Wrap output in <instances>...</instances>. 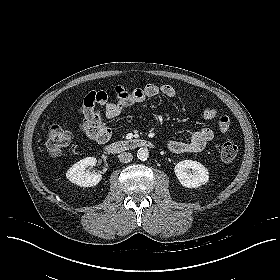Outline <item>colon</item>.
<instances>
[{"instance_id": "colon-1", "label": "colon", "mask_w": 280, "mask_h": 280, "mask_svg": "<svg viewBox=\"0 0 280 280\" xmlns=\"http://www.w3.org/2000/svg\"><path fill=\"white\" fill-rule=\"evenodd\" d=\"M217 112H214V117ZM218 125L224 129H229L230 119L226 115L218 116ZM90 135L94 138L101 139L106 136V132L97 128L90 130ZM71 142V132L62 126H52L48 130L46 150L53 158L60 157ZM238 148L234 143H225L221 148V159L224 162H231L237 156Z\"/></svg>"}]
</instances>
